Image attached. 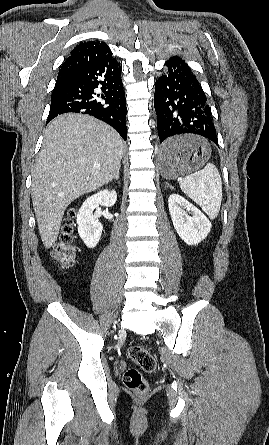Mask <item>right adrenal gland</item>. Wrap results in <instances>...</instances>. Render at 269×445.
<instances>
[{
    "label": "right adrenal gland",
    "mask_w": 269,
    "mask_h": 445,
    "mask_svg": "<svg viewBox=\"0 0 269 445\" xmlns=\"http://www.w3.org/2000/svg\"><path fill=\"white\" fill-rule=\"evenodd\" d=\"M119 170H120V167L116 170V173H115L114 176L111 178L110 182H111L113 179H116V180L119 179Z\"/></svg>",
    "instance_id": "1"
}]
</instances>
